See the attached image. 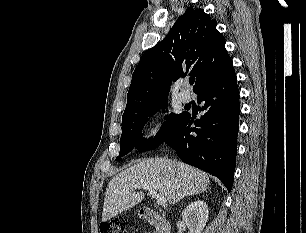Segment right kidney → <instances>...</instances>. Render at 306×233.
Masks as SVG:
<instances>
[{"label":"right kidney","mask_w":306,"mask_h":233,"mask_svg":"<svg viewBox=\"0 0 306 233\" xmlns=\"http://www.w3.org/2000/svg\"><path fill=\"white\" fill-rule=\"evenodd\" d=\"M208 206L202 200H197L189 204L182 213L188 233H201L208 221Z\"/></svg>","instance_id":"right-kidney-1"}]
</instances>
